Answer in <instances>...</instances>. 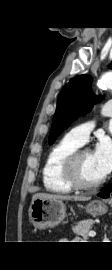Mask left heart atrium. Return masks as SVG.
I'll list each match as a JSON object with an SVG mask.
<instances>
[{"label":"left heart atrium","instance_id":"39dd6f15","mask_svg":"<svg viewBox=\"0 0 112 270\" xmlns=\"http://www.w3.org/2000/svg\"><path fill=\"white\" fill-rule=\"evenodd\" d=\"M93 157L98 170L105 177L112 171V141L102 137L95 147Z\"/></svg>","mask_w":112,"mask_h":270}]
</instances>
